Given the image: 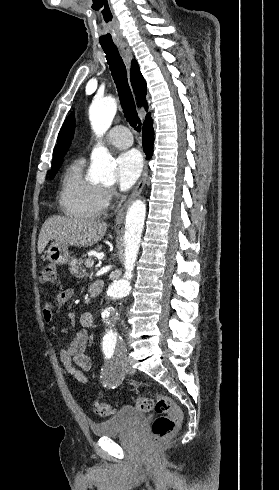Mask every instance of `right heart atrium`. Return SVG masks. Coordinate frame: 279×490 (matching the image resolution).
<instances>
[{
    "label": "right heart atrium",
    "mask_w": 279,
    "mask_h": 490,
    "mask_svg": "<svg viewBox=\"0 0 279 490\" xmlns=\"http://www.w3.org/2000/svg\"><path fill=\"white\" fill-rule=\"evenodd\" d=\"M114 197H115V191L113 188L110 187L100 188L97 196V207L100 214L105 213L109 209Z\"/></svg>",
    "instance_id": "d8ad5b80"
}]
</instances>
